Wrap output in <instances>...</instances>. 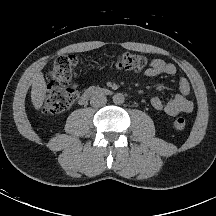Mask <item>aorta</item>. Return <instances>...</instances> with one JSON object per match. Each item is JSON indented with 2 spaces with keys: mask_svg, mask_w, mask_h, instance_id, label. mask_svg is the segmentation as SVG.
<instances>
[{
  "mask_svg": "<svg viewBox=\"0 0 216 216\" xmlns=\"http://www.w3.org/2000/svg\"><path fill=\"white\" fill-rule=\"evenodd\" d=\"M114 104L121 105L125 101V96L122 93H116L112 97Z\"/></svg>",
  "mask_w": 216,
  "mask_h": 216,
  "instance_id": "1",
  "label": "aorta"
}]
</instances>
